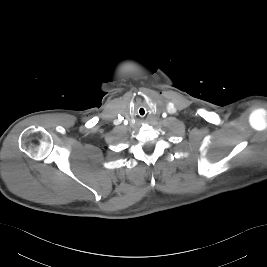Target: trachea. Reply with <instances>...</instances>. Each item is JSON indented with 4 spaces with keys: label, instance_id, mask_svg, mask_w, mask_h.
Instances as JSON below:
<instances>
[{
    "label": "trachea",
    "instance_id": "1",
    "mask_svg": "<svg viewBox=\"0 0 267 267\" xmlns=\"http://www.w3.org/2000/svg\"><path fill=\"white\" fill-rule=\"evenodd\" d=\"M137 114L140 118H144L147 115L146 110L143 107H140L137 110Z\"/></svg>",
    "mask_w": 267,
    "mask_h": 267
}]
</instances>
